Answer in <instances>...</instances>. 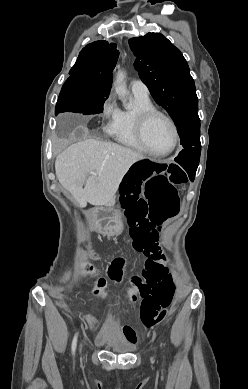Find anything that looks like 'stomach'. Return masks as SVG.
Segmentation results:
<instances>
[{
	"label": "stomach",
	"instance_id": "1",
	"mask_svg": "<svg viewBox=\"0 0 248 389\" xmlns=\"http://www.w3.org/2000/svg\"><path fill=\"white\" fill-rule=\"evenodd\" d=\"M94 213L89 215L92 224L97 226L96 230L99 235H120L122 233L121 219L123 215L122 208L119 207H96Z\"/></svg>",
	"mask_w": 248,
	"mask_h": 389
}]
</instances>
